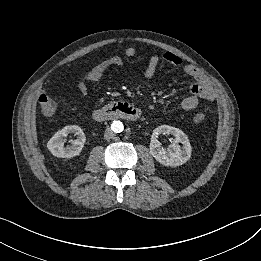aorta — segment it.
Here are the masks:
<instances>
[{
	"label": "aorta",
	"instance_id": "762f6f07",
	"mask_svg": "<svg viewBox=\"0 0 261 261\" xmlns=\"http://www.w3.org/2000/svg\"><path fill=\"white\" fill-rule=\"evenodd\" d=\"M111 129L115 132V133H121L124 130V125L121 121L119 120H115L112 122L111 124Z\"/></svg>",
	"mask_w": 261,
	"mask_h": 261
}]
</instances>
